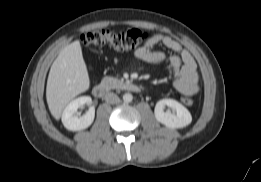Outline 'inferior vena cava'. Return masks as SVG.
Returning a JSON list of instances; mask_svg holds the SVG:
<instances>
[{"mask_svg":"<svg viewBox=\"0 0 261 182\" xmlns=\"http://www.w3.org/2000/svg\"><path fill=\"white\" fill-rule=\"evenodd\" d=\"M105 101L110 104H115L118 103L120 99L115 93L109 92L105 95Z\"/></svg>","mask_w":261,"mask_h":182,"instance_id":"1","label":"inferior vena cava"}]
</instances>
